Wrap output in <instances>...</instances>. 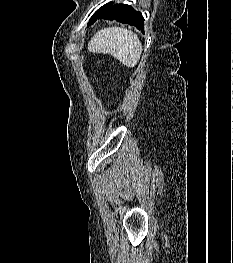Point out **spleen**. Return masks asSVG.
<instances>
[{"label": "spleen", "instance_id": "spleen-1", "mask_svg": "<svg viewBox=\"0 0 233 263\" xmlns=\"http://www.w3.org/2000/svg\"><path fill=\"white\" fill-rule=\"evenodd\" d=\"M88 49L93 53L110 54L125 66L133 68L140 59L142 44L133 31L121 27H108L92 37Z\"/></svg>", "mask_w": 233, "mask_h": 263}]
</instances>
